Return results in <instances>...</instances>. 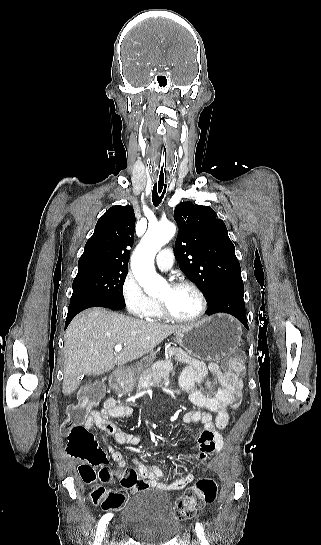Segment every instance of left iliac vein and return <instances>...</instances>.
<instances>
[{
    "label": "left iliac vein",
    "mask_w": 321,
    "mask_h": 545,
    "mask_svg": "<svg viewBox=\"0 0 321 545\" xmlns=\"http://www.w3.org/2000/svg\"><path fill=\"white\" fill-rule=\"evenodd\" d=\"M194 545H200L199 541H198V540H195V541H194Z\"/></svg>",
    "instance_id": "obj_1"
}]
</instances>
